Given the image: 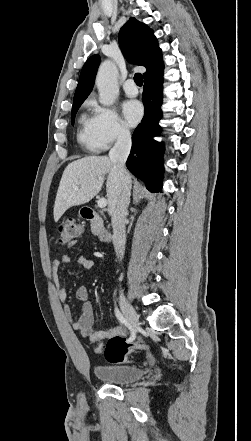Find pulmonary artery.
<instances>
[{"instance_id":"pulmonary-artery-1","label":"pulmonary artery","mask_w":251,"mask_h":441,"mask_svg":"<svg viewBox=\"0 0 251 441\" xmlns=\"http://www.w3.org/2000/svg\"><path fill=\"white\" fill-rule=\"evenodd\" d=\"M123 88L125 93L130 97H134L138 94V88L133 79L126 80Z\"/></svg>"}]
</instances>
